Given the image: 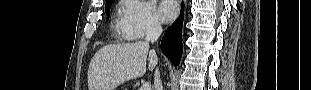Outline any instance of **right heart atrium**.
<instances>
[{"mask_svg": "<svg viewBox=\"0 0 311 90\" xmlns=\"http://www.w3.org/2000/svg\"><path fill=\"white\" fill-rule=\"evenodd\" d=\"M161 22L153 6L144 0H122L118 30L127 40H140L161 31Z\"/></svg>", "mask_w": 311, "mask_h": 90, "instance_id": "right-heart-atrium-1", "label": "right heart atrium"}]
</instances>
